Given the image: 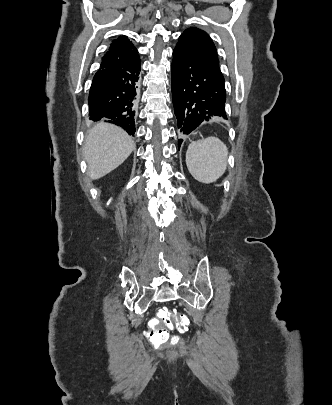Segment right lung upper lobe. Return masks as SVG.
Instances as JSON below:
<instances>
[{
	"mask_svg": "<svg viewBox=\"0 0 332 405\" xmlns=\"http://www.w3.org/2000/svg\"><path fill=\"white\" fill-rule=\"evenodd\" d=\"M139 58L134 45L126 36H120L110 44L109 51L102 58L101 69L120 67Z\"/></svg>",
	"mask_w": 332,
	"mask_h": 405,
	"instance_id": "cb5924a9",
	"label": "right lung upper lobe"
}]
</instances>
